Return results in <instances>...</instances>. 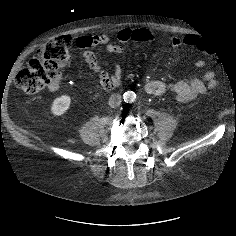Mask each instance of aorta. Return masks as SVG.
Here are the masks:
<instances>
[{
  "label": "aorta",
  "mask_w": 236,
  "mask_h": 236,
  "mask_svg": "<svg viewBox=\"0 0 236 236\" xmlns=\"http://www.w3.org/2000/svg\"><path fill=\"white\" fill-rule=\"evenodd\" d=\"M135 93L132 91H128L124 94V100L126 102H133L135 100Z\"/></svg>",
  "instance_id": "obj_1"
}]
</instances>
